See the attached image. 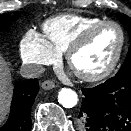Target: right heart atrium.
I'll return each mask as SVG.
<instances>
[{"instance_id": "d8ad5b80", "label": "right heart atrium", "mask_w": 131, "mask_h": 131, "mask_svg": "<svg viewBox=\"0 0 131 131\" xmlns=\"http://www.w3.org/2000/svg\"><path fill=\"white\" fill-rule=\"evenodd\" d=\"M19 51L24 63L35 66L53 64L60 55L52 48L44 36L33 30H29L22 37Z\"/></svg>"}]
</instances>
